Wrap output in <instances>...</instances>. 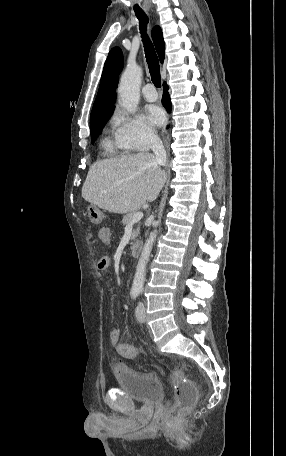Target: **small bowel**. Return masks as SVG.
I'll use <instances>...</instances> for the list:
<instances>
[{
    "label": "small bowel",
    "instance_id": "1",
    "mask_svg": "<svg viewBox=\"0 0 286 456\" xmlns=\"http://www.w3.org/2000/svg\"><path fill=\"white\" fill-rule=\"evenodd\" d=\"M99 237L102 242L109 243L111 240L110 230L107 227H102L99 230ZM111 262L112 261L109 256H103L97 263V269L99 271H105L111 266ZM120 336H121L120 330L114 329L110 333V340H111L112 344L115 345L117 353L119 355L123 356V354L121 353V347L126 344L120 343Z\"/></svg>",
    "mask_w": 286,
    "mask_h": 456
}]
</instances>
